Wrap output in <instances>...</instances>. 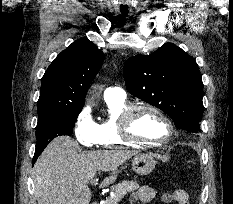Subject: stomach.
<instances>
[{
    "instance_id": "1",
    "label": "stomach",
    "mask_w": 233,
    "mask_h": 204,
    "mask_svg": "<svg viewBox=\"0 0 233 204\" xmlns=\"http://www.w3.org/2000/svg\"><path fill=\"white\" fill-rule=\"evenodd\" d=\"M132 169L139 175H148L155 168V160L151 155L139 154L132 159Z\"/></svg>"
}]
</instances>
